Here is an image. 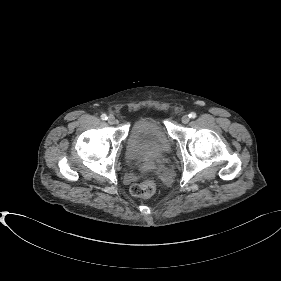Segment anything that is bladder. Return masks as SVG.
<instances>
[{
    "label": "bladder",
    "instance_id": "bladder-1",
    "mask_svg": "<svg viewBox=\"0 0 281 281\" xmlns=\"http://www.w3.org/2000/svg\"><path fill=\"white\" fill-rule=\"evenodd\" d=\"M171 149L168 136L159 120L142 117L129 130L125 156L137 169H149L166 159Z\"/></svg>",
    "mask_w": 281,
    "mask_h": 281
}]
</instances>
